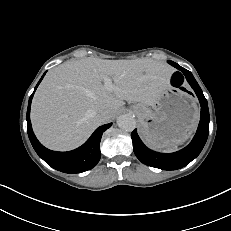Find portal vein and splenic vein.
Listing matches in <instances>:
<instances>
[{
    "label": "portal vein and splenic vein",
    "instance_id": "18ae733b",
    "mask_svg": "<svg viewBox=\"0 0 231 231\" xmlns=\"http://www.w3.org/2000/svg\"><path fill=\"white\" fill-rule=\"evenodd\" d=\"M104 84H105V87L109 90L113 88L112 82L108 77L104 78Z\"/></svg>",
    "mask_w": 231,
    "mask_h": 231
}]
</instances>
